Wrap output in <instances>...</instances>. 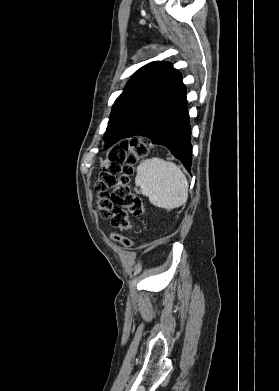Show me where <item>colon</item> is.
<instances>
[{"label": "colon", "mask_w": 279, "mask_h": 391, "mask_svg": "<svg viewBox=\"0 0 279 391\" xmlns=\"http://www.w3.org/2000/svg\"><path fill=\"white\" fill-rule=\"evenodd\" d=\"M147 153V145L140 140L121 143L112 150L107 166L103 167L97 179L95 188L99 214L110 218L112 226L120 231L134 228L128 213L138 218L145 212L142 199L131 191L130 175ZM113 239L124 247L132 245L127 237L114 234Z\"/></svg>", "instance_id": "5ec220e1"}]
</instances>
